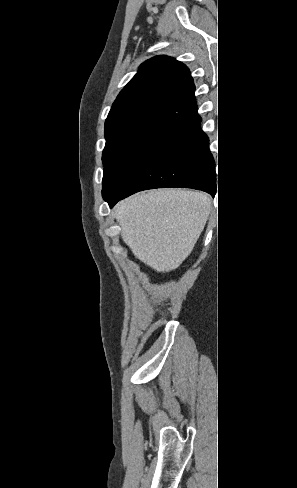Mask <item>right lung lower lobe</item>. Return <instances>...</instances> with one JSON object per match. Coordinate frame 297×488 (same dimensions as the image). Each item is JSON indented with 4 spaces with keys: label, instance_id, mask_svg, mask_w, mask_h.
Wrapping results in <instances>:
<instances>
[{
    "label": "right lung lower lobe",
    "instance_id": "1",
    "mask_svg": "<svg viewBox=\"0 0 297 488\" xmlns=\"http://www.w3.org/2000/svg\"><path fill=\"white\" fill-rule=\"evenodd\" d=\"M201 118L173 132L153 154L144 168L122 194L108 203L114 206L138 191L181 187L216 194L215 163L209 139L200 128Z\"/></svg>",
    "mask_w": 297,
    "mask_h": 488
}]
</instances>
